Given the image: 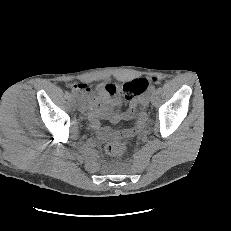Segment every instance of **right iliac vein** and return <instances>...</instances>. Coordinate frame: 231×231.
<instances>
[{"instance_id": "obj_1", "label": "right iliac vein", "mask_w": 231, "mask_h": 231, "mask_svg": "<svg viewBox=\"0 0 231 231\" xmlns=\"http://www.w3.org/2000/svg\"><path fill=\"white\" fill-rule=\"evenodd\" d=\"M76 99H77V105H78L79 110L84 111L86 108V104H85L83 97L80 95H76Z\"/></svg>"}]
</instances>
